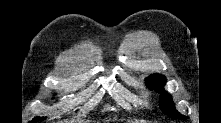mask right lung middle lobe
I'll return each instance as SVG.
<instances>
[{
	"mask_svg": "<svg viewBox=\"0 0 221 123\" xmlns=\"http://www.w3.org/2000/svg\"><path fill=\"white\" fill-rule=\"evenodd\" d=\"M44 118H35V121H41L43 120Z\"/></svg>",
	"mask_w": 221,
	"mask_h": 123,
	"instance_id": "dd1d6c3e",
	"label": "right lung middle lobe"
}]
</instances>
